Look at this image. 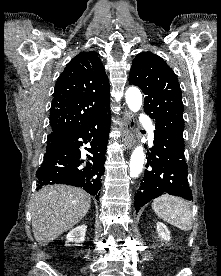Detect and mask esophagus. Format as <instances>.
<instances>
[{"mask_svg": "<svg viewBox=\"0 0 221 276\" xmlns=\"http://www.w3.org/2000/svg\"><path fill=\"white\" fill-rule=\"evenodd\" d=\"M122 121L124 125V143L127 149H131L134 140V130L132 123V115L128 110H125L123 112Z\"/></svg>", "mask_w": 221, "mask_h": 276, "instance_id": "esophagus-1", "label": "esophagus"}]
</instances>
